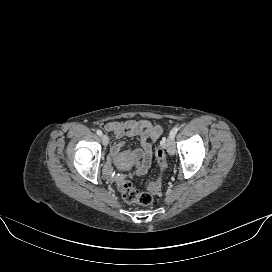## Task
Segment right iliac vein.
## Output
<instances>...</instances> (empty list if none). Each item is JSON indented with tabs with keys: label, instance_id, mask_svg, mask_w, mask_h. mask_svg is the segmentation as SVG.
Segmentation results:
<instances>
[{
	"label": "right iliac vein",
	"instance_id": "obj_1",
	"mask_svg": "<svg viewBox=\"0 0 272 272\" xmlns=\"http://www.w3.org/2000/svg\"><path fill=\"white\" fill-rule=\"evenodd\" d=\"M101 140H102V143H103V145L104 146H107L108 145V143H109V138H108V136L107 135H101Z\"/></svg>",
	"mask_w": 272,
	"mask_h": 272
}]
</instances>
